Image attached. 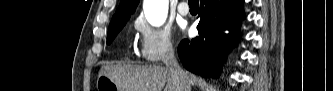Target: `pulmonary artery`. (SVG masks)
Segmentation results:
<instances>
[{"label": "pulmonary artery", "mask_w": 333, "mask_h": 91, "mask_svg": "<svg viewBox=\"0 0 333 91\" xmlns=\"http://www.w3.org/2000/svg\"><path fill=\"white\" fill-rule=\"evenodd\" d=\"M177 10H178L179 14H181L182 16H186L189 14V7L185 1H181L178 4Z\"/></svg>", "instance_id": "e3ab8cb5"}]
</instances>
